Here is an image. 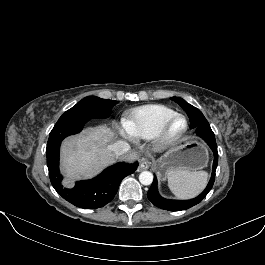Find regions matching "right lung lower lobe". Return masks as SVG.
I'll return each instance as SVG.
<instances>
[{"instance_id":"obj_1","label":"right lung lower lobe","mask_w":265,"mask_h":265,"mask_svg":"<svg viewBox=\"0 0 265 265\" xmlns=\"http://www.w3.org/2000/svg\"><path fill=\"white\" fill-rule=\"evenodd\" d=\"M87 121L84 118H73L55 124L47 142V166L52 186L59 195L77 207L96 209L114 198L120 182L135 172L138 162L117 163L91 180L76 182L74 188L63 187V177L59 171L60 144L67 136L79 133Z\"/></svg>"}]
</instances>
